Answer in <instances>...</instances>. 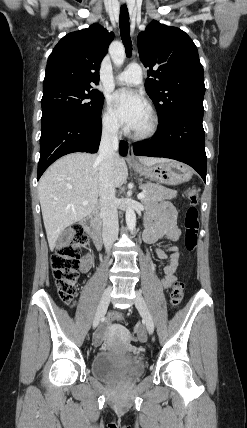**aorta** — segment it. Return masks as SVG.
I'll use <instances>...</instances> for the list:
<instances>
[{
    "instance_id": "1",
    "label": "aorta",
    "mask_w": 247,
    "mask_h": 428,
    "mask_svg": "<svg viewBox=\"0 0 247 428\" xmlns=\"http://www.w3.org/2000/svg\"><path fill=\"white\" fill-rule=\"evenodd\" d=\"M112 61L115 66L120 67L123 65L125 60V52L123 46L119 45L115 48H112L110 51ZM126 224L129 230H133L136 226V214L131 205H128L125 213Z\"/></svg>"
}]
</instances>
